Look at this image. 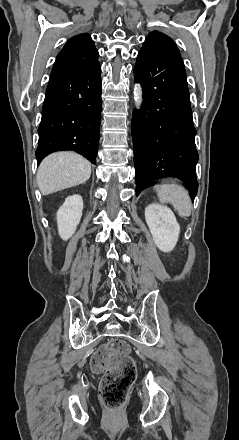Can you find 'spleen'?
Listing matches in <instances>:
<instances>
[{"label": "spleen", "instance_id": "3e777b00", "mask_svg": "<svg viewBox=\"0 0 239 440\" xmlns=\"http://www.w3.org/2000/svg\"><path fill=\"white\" fill-rule=\"evenodd\" d=\"M154 190L161 204L169 202L177 210L179 216H184V218L191 216V200L186 188L178 184H162V186H154Z\"/></svg>", "mask_w": 239, "mask_h": 440}]
</instances>
